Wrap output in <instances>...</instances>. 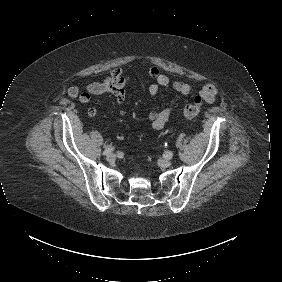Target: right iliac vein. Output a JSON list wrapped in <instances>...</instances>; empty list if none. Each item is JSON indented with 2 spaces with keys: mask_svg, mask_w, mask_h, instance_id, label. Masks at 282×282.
Listing matches in <instances>:
<instances>
[{
  "mask_svg": "<svg viewBox=\"0 0 282 282\" xmlns=\"http://www.w3.org/2000/svg\"><path fill=\"white\" fill-rule=\"evenodd\" d=\"M106 158H107L108 161H113L115 159V154L110 153V154L107 155Z\"/></svg>",
  "mask_w": 282,
  "mask_h": 282,
  "instance_id": "1",
  "label": "right iliac vein"
}]
</instances>
